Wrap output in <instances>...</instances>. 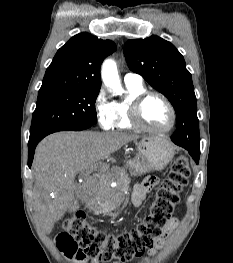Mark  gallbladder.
Returning <instances> with one entry per match:
<instances>
[{
    "instance_id": "obj_1",
    "label": "gallbladder",
    "mask_w": 233,
    "mask_h": 263,
    "mask_svg": "<svg viewBox=\"0 0 233 263\" xmlns=\"http://www.w3.org/2000/svg\"><path fill=\"white\" fill-rule=\"evenodd\" d=\"M80 190H81L80 187L77 186V188H76L77 194H79ZM79 206H80L79 201L76 199L73 202V204L70 206L69 211H71V212L76 211L79 208Z\"/></svg>"
}]
</instances>
